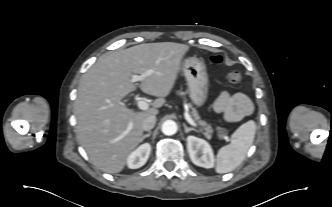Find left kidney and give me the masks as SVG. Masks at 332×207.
I'll list each match as a JSON object with an SVG mask.
<instances>
[{"label":"left kidney","instance_id":"obj_1","mask_svg":"<svg viewBox=\"0 0 332 207\" xmlns=\"http://www.w3.org/2000/svg\"><path fill=\"white\" fill-rule=\"evenodd\" d=\"M187 149L191 161L203 168L214 167V154L209 143L195 136L187 137Z\"/></svg>","mask_w":332,"mask_h":207}]
</instances>
